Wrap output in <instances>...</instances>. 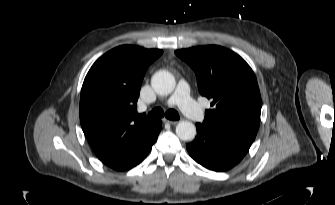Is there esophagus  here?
Instances as JSON below:
<instances>
[{
	"label": "esophagus",
	"instance_id": "esophagus-1",
	"mask_svg": "<svg viewBox=\"0 0 335 205\" xmlns=\"http://www.w3.org/2000/svg\"><path fill=\"white\" fill-rule=\"evenodd\" d=\"M163 121H164L165 123H168V124H171V125H175V124L178 123V121H176V120H169V119H167V118H164Z\"/></svg>",
	"mask_w": 335,
	"mask_h": 205
}]
</instances>
